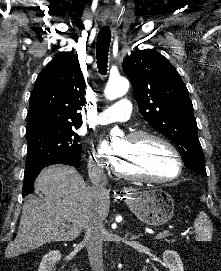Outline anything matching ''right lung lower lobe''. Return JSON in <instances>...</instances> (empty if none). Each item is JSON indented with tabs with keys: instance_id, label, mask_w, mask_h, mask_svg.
Masks as SVG:
<instances>
[{
	"instance_id": "98d812e1",
	"label": "right lung lower lobe",
	"mask_w": 221,
	"mask_h": 271,
	"mask_svg": "<svg viewBox=\"0 0 221 271\" xmlns=\"http://www.w3.org/2000/svg\"><path fill=\"white\" fill-rule=\"evenodd\" d=\"M80 160V159H79ZM78 161L75 163L73 162H55V163H45V164H40V165H33V166H28L25 168V175H24V182H23V197L32 193L33 188H34V181L38 174L40 173V170L48 165H53V164H68V165H73L77 164Z\"/></svg>"
}]
</instances>
